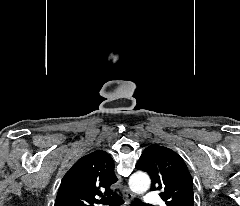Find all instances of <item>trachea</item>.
Returning <instances> with one entry per match:
<instances>
[{"label": "trachea", "instance_id": "trachea-1", "mask_svg": "<svg viewBox=\"0 0 240 206\" xmlns=\"http://www.w3.org/2000/svg\"><path fill=\"white\" fill-rule=\"evenodd\" d=\"M100 202L102 204H107L109 206H120L123 203V200L119 195L114 194L111 197L102 198ZM131 206H145V205L141 201L136 200L131 204Z\"/></svg>", "mask_w": 240, "mask_h": 206}]
</instances>
